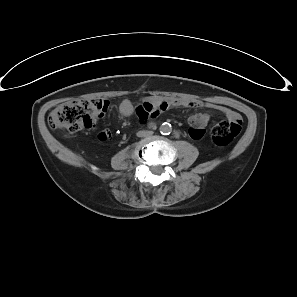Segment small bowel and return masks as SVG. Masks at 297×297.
<instances>
[{"mask_svg":"<svg viewBox=\"0 0 297 297\" xmlns=\"http://www.w3.org/2000/svg\"><path fill=\"white\" fill-rule=\"evenodd\" d=\"M170 106H180V107H191V108H200L207 106L216 111H219L226 115V117L231 120L234 119L239 114L235 111L228 109L224 106L217 104H204L201 101L197 100H186V99H171L167 101L162 100H148L144 101L141 105L137 107V115L141 121H145L149 118H154L159 115V113L165 111ZM134 106L128 100H125L120 105V113L125 116H131L134 113ZM210 120V116L206 113H196L190 116V130L189 135L191 138L197 140L202 138L204 135V129Z\"/></svg>","mask_w":297,"mask_h":297,"instance_id":"obj_1","label":"small bowel"}]
</instances>
